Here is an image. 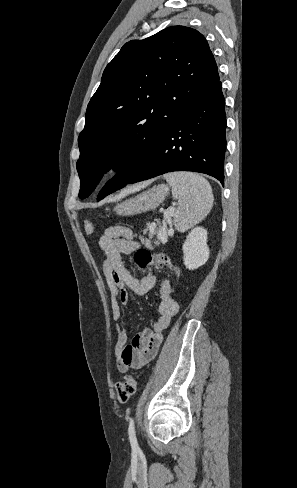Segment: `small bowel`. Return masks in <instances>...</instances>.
<instances>
[{"label":"small bowel","instance_id":"small-bowel-1","mask_svg":"<svg viewBox=\"0 0 297 488\" xmlns=\"http://www.w3.org/2000/svg\"><path fill=\"white\" fill-rule=\"evenodd\" d=\"M98 246L105 256L102 269L110 295L111 317L118 322L114 325L116 364L118 370L125 373L144 366L155 357L163 339V330L176 315L179 306L173 297L170 279L162 277L158 283L160 302L157 317L149 328L136 334L128 344L123 307L131 301L130 291L138 295L148 293L157 283V277L147 274L137 279L123 264V254L129 255L141 249L140 244L134 241L129 227L118 225L106 228L99 238Z\"/></svg>","mask_w":297,"mask_h":488}]
</instances>
